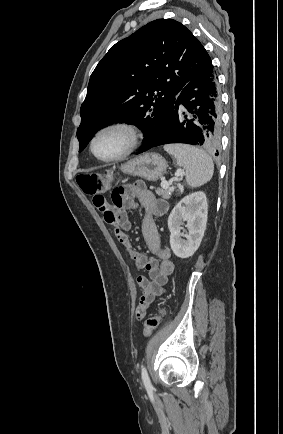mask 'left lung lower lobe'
I'll return each mask as SVG.
<instances>
[{"label":"left lung lower lobe","instance_id":"1","mask_svg":"<svg viewBox=\"0 0 283 434\" xmlns=\"http://www.w3.org/2000/svg\"><path fill=\"white\" fill-rule=\"evenodd\" d=\"M220 134V90L211 65L184 86L161 133L138 153L163 144L185 143L208 148L217 156Z\"/></svg>","mask_w":283,"mask_h":434}]
</instances>
